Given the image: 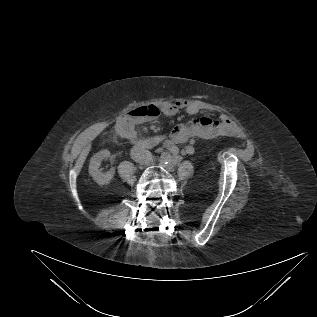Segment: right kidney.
<instances>
[{"mask_svg":"<svg viewBox=\"0 0 317 317\" xmlns=\"http://www.w3.org/2000/svg\"><path fill=\"white\" fill-rule=\"evenodd\" d=\"M108 157H110V152L108 150H101L90 159L89 174L99 185L108 184L115 174L114 167L106 173L101 172L99 169L101 162Z\"/></svg>","mask_w":317,"mask_h":317,"instance_id":"right-kidney-1","label":"right kidney"}]
</instances>
